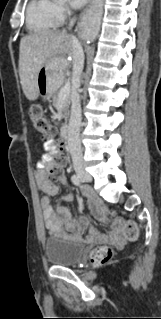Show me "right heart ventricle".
Listing matches in <instances>:
<instances>
[{
    "mask_svg": "<svg viewBox=\"0 0 161 319\" xmlns=\"http://www.w3.org/2000/svg\"><path fill=\"white\" fill-rule=\"evenodd\" d=\"M26 19L31 33L50 31L59 25L57 4L52 0H31L27 6Z\"/></svg>",
    "mask_w": 161,
    "mask_h": 319,
    "instance_id": "right-heart-ventricle-1",
    "label": "right heart ventricle"
}]
</instances>
